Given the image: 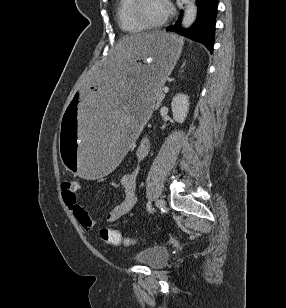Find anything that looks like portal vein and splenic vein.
Listing matches in <instances>:
<instances>
[{"label":"portal vein and splenic vein","instance_id":"18ae733b","mask_svg":"<svg viewBox=\"0 0 286 308\" xmlns=\"http://www.w3.org/2000/svg\"><path fill=\"white\" fill-rule=\"evenodd\" d=\"M163 91H164L165 93L168 92V91H169L168 87H164V88H163Z\"/></svg>","mask_w":286,"mask_h":308}]
</instances>
